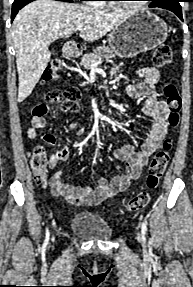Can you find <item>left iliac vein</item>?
Returning <instances> with one entry per match:
<instances>
[{
  "label": "left iliac vein",
  "mask_w": 193,
  "mask_h": 287,
  "mask_svg": "<svg viewBox=\"0 0 193 287\" xmlns=\"http://www.w3.org/2000/svg\"><path fill=\"white\" fill-rule=\"evenodd\" d=\"M137 239H138L139 241H142V240H143L142 233H140V232L137 233Z\"/></svg>",
  "instance_id": "1"
}]
</instances>
